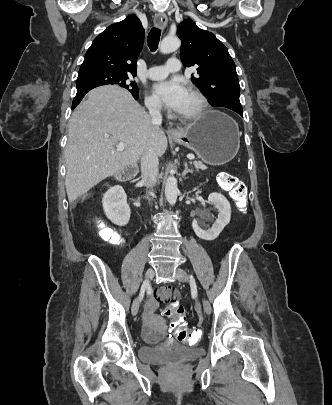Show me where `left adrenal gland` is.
<instances>
[{"mask_svg": "<svg viewBox=\"0 0 332 405\" xmlns=\"http://www.w3.org/2000/svg\"><path fill=\"white\" fill-rule=\"evenodd\" d=\"M192 172H193V171L188 168L187 162H185V163H184V171H183V173H182V177L184 178V177L186 176V174L192 173Z\"/></svg>", "mask_w": 332, "mask_h": 405, "instance_id": "left-adrenal-gland-1", "label": "left adrenal gland"}]
</instances>
